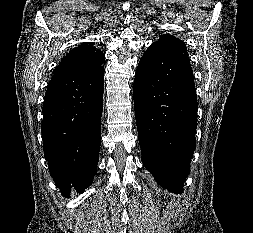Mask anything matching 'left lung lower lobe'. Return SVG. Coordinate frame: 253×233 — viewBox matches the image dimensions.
<instances>
[{
	"instance_id": "0a47b994",
	"label": "left lung lower lobe",
	"mask_w": 253,
	"mask_h": 233,
	"mask_svg": "<svg viewBox=\"0 0 253 233\" xmlns=\"http://www.w3.org/2000/svg\"><path fill=\"white\" fill-rule=\"evenodd\" d=\"M133 94L142 163L159 185L180 193L196 148L197 97L188 55L150 45Z\"/></svg>"
}]
</instances>
